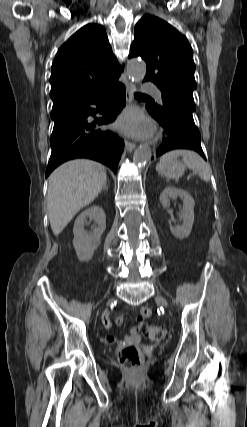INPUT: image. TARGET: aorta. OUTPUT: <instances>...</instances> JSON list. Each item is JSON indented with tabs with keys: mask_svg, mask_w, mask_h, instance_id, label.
<instances>
[{
	"mask_svg": "<svg viewBox=\"0 0 247 427\" xmlns=\"http://www.w3.org/2000/svg\"><path fill=\"white\" fill-rule=\"evenodd\" d=\"M146 66L137 60H131L127 66V74L132 80H139L145 76ZM152 151L150 147L142 146L136 149L133 156L134 163L143 167L151 159Z\"/></svg>",
	"mask_w": 247,
	"mask_h": 427,
	"instance_id": "obj_1",
	"label": "aorta"
}]
</instances>
